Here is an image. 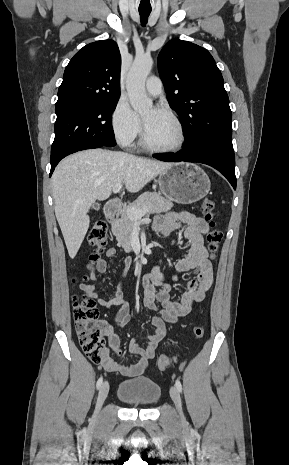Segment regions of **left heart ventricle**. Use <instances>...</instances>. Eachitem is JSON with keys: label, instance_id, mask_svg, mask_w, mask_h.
<instances>
[{"label": "left heart ventricle", "instance_id": "1", "mask_svg": "<svg viewBox=\"0 0 289 465\" xmlns=\"http://www.w3.org/2000/svg\"><path fill=\"white\" fill-rule=\"evenodd\" d=\"M146 136L150 144L157 147L174 146L179 139L175 123L162 111L148 108L142 113Z\"/></svg>", "mask_w": 289, "mask_h": 465}]
</instances>
